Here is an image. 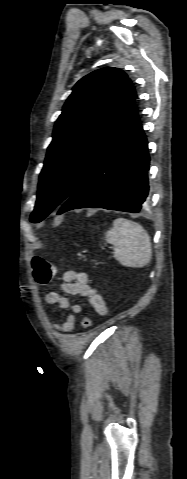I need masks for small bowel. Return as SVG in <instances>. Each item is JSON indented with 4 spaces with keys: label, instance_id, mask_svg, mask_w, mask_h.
<instances>
[{
    "label": "small bowel",
    "instance_id": "small-bowel-1",
    "mask_svg": "<svg viewBox=\"0 0 187 479\" xmlns=\"http://www.w3.org/2000/svg\"><path fill=\"white\" fill-rule=\"evenodd\" d=\"M64 282L61 290L74 296H82L87 299L95 311L100 315L107 313V306L99 294L98 290L91 286L89 277L86 273L77 270H68L64 273ZM45 303L49 305H57L58 311L69 310L71 313L65 320L59 323H53L52 327L60 332H72L76 329L75 316L80 314L82 308L79 304L71 302L70 299L55 291H50L45 295Z\"/></svg>",
    "mask_w": 187,
    "mask_h": 479
}]
</instances>
